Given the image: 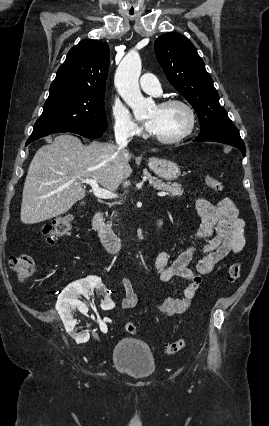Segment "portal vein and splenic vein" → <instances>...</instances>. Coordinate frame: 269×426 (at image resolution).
I'll return each instance as SVG.
<instances>
[{"label": "portal vein and splenic vein", "instance_id": "18ae733b", "mask_svg": "<svg viewBox=\"0 0 269 426\" xmlns=\"http://www.w3.org/2000/svg\"><path fill=\"white\" fill-rule=\"evenodd\" d=\"M82 183H86L91 186L93 194L95 197L100 199H114L117 198V194L110 192L104 188H101L98 185V181L96 179H82ZM158 196L164 197L167 195L165 192L157 193Z\"/></svg>", "mask_w": 269, "mask_h": 426}]
</instances>
